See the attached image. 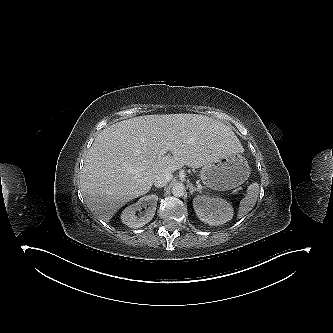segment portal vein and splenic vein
I'll use <instances>...</instances> for the list:
<instances>
[{
    "label": "portal vein and splenic vein",
    "instance_id": "portal-vein-and-splenic-vein-1",
    "mask_svg": "<svg viewBox=\"0 0 333 333\" xmlns=\"http://www.w3.org/2000/svg\"><path fill=\"white\" fill-rule=\"evenodd\" d=\"M166 152H167V150H166V151H163L162 153H166ZM198 187H199L200 189L203 188L201 185H199Z\"/></svg>",
    "mask_w": 333,
    "mask_h": 333
}]
</instances>
